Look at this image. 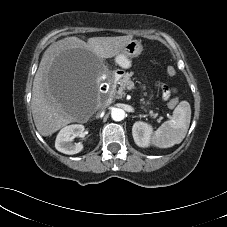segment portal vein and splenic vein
I'll return each mask as SVG.
<instances>
[{
    "label": "portal vein and splenic vein",
    "instance_id": "18ae733b",
    "mask_svg": "<svg viewBox=\"0 0 227 227\" xmlns=\"http://www.w3.org/2000/svg\"><path fill=\"white\" fill-rule=\"evenodd\" d=\"M133 87V82H131L130 87L128 89H131Z\"/></svg>",
    "mask_w": 227,
    "mask_h": 227
}]
</instances>
